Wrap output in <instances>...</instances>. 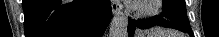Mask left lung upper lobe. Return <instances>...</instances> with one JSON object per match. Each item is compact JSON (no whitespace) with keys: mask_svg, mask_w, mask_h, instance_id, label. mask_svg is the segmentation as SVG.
Instances as JSON below:
<instances>
[{"mask_svg":"<svg viewBox=\"0 0 219 37\" xmlns=\"http://www.w3.org/2000/svg\"><path fill=\"white\" fill-rule=\"evenodd\" d=\"M162 15L184 30L192 32L187 17L185 0H163Z\"/></svg>","mask_w":219,"mask_h":37,"instance_id":"obj_1","label":"left lung upper lobe"}]
</instances>
